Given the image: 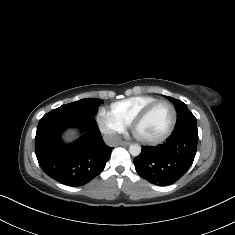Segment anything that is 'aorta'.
Returning a JSON list of instances; mask_svg holds the SVG:
<instances>
[{
  "instance_id": "762f6f07",
  "label": "aorta",
  "mask_w": 235,
  "mask_h": 235,
  "mask_svg": "<svg viewBox=\"0 0 235 235\" xmlns=\"http://www.w3.org/2000/svg\"><path fill=\"white\" fill-rule=\"evenodd\" d=\"M129 152L133 157H137L141 153V147L139 145H130Z\"/></svg>"
}]
</instances>
